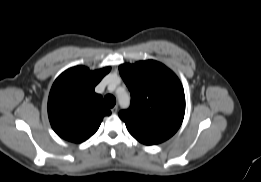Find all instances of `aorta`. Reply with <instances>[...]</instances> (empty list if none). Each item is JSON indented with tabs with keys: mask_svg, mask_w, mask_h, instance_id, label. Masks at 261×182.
I'll return each instance as SVG.
<instances>
[{
	"mask_svg": "<svg viewBox=\"0 0 261 182\" xmlns=\"http://www.w3.org/2000/svg\"><path fill=\"white\" fill-rule=\"evenodd\" d=\"M119 104L122 108H128L130 105V96L125 91V89L121 88V92L117 93Z\"/></svg>",
	"mask_w": 261,
	"mask_h": 182,
	"instance_id": "1",
	"label": "aorta"
}]
</instances>
